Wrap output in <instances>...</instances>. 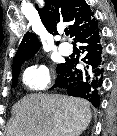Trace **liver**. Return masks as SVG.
Listing matches in <instances>:
<instances>
[{
  "instance_id": "1",
  "label": "liver",
  "mask_w": 117,
  "mask_h": 136,
  "mask_svg": "<svg viewBox=\"0 0 117 136\" xmlns=\"http://www.w3.org/2000/svg\"><path fill=\"white\" fill-rule=\"evenodd\" d=\"M12 113L7 136H79L91 121L88 101L58 94H29Z\"/></svg>"
}]
</instances>
